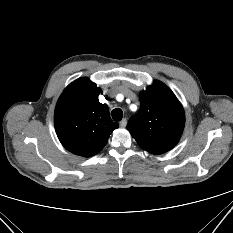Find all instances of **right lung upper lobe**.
Returning <instances> with one entry per match:
<instances>
[{
	"label": "right lung upper lobe",
	"mask_w": 233,
	"mask_h": 233,
	"mask_svg": "<svg viewBox=\"0 0 233 233\" xmlns=\"http://www.w3.org/2000/svg\"><path fill=\"white\" fill-rule=\"evenodd\" d=\"M100 89L88 78L69 84L56 104L54 124L62 145L70 152L91 157L105 146L112 131L119 127L106 104L98 100Z\"/></svg>",
	"instance_id": "obj_1"
}]
</instances>
